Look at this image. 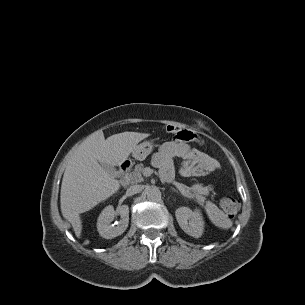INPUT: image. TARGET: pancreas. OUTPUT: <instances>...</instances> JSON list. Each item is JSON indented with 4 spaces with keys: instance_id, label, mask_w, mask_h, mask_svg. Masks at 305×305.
<instances>
[{
    "instance_id": "pancreas-1",
    "label": "pancreas",
    "mask_w": 305,
    "mask_h": 305,
    "mask_svg": "<svg viewBox=\"0 0 305 305\" xmlns=\"http://www.w3.org/2000/svg\"><path fill=\"white\" fill-rule=\"evenodd\" d=\"M145 170V167L142 163L137 164L135 166L134 171H132L129 175V181L134 184V183H140L142 182L143 179V172ZM177 189L187 198L189 199H194L196 202L199 204L203 205L205 203V196L209 192V187H204L202 184H194L191 187H188L186 185H183L181 183H176L175 184Z\"/></svg>"
}]
</instances>
